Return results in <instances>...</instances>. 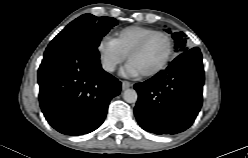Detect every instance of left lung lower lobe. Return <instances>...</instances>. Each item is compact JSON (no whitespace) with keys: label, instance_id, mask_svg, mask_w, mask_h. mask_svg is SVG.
<instances>
[{"label":"left lung lower lobe","instance_id":"0a47b994","mask_svg":"<svg viewBox=\"0 0 248 158\" xmlns=\"http://www.w3.org/2000/svg\"><path fill=\"white\" fill-rule=\"evenodd\" d=\"M204 70L199 48L177 56L166 70L137 83L134 114L140 126L155 134H176L189 128L202 105Z\"/></svg>","mask_w":248,"mask_h":158}]
</instances>
